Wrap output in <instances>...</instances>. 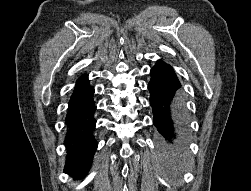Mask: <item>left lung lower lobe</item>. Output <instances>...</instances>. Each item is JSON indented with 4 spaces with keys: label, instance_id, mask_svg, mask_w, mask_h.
I'll list each match as a JSON object with an SVG mask.
<instances>
[{
    "label": "left lung lower lobe",
    "instance_id": "0a47b994",
    "mask_svg": "<svg viewBox=\"0 0 251 191\" xmlns=\"http://www.w3.org/2000/svg\"><path fill=\"white\" fill-rule=\"evenodd\" d=\"M181 84L173 68L157 61L151 69L148 84L153 122L160 133V150L167 156H174L185 150L183 128L185 126L184 101Z\"/></svg>",
    "mask_w": 251,
    "mask_h": 191
}]
</instances>
